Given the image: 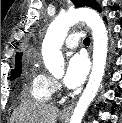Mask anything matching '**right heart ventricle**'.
<instances>
[{
	"instance_id": "1",
	"label": "right heart ventricle",
	"mask_w": 122,
	"mask_h": 123,
	"mask_svg": "<svg viewBox=\"0 0 122 123\" xmlns=\"http://www.w3.org/2000/svg\"><path fill=\"white\" fill-rule=\"evenodd\" d=\"M50 77L39 71H32L29 83V95L38 102H48L52 97Z\"/></svg>"
}]
</instances>
